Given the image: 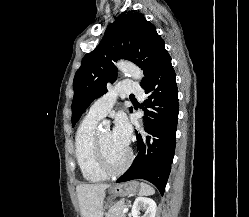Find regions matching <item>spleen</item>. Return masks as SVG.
Returning a JSON list of instances; mask_svg holds the SVG:
<instances>
[{"instance_id":"3e777b00","label":"spleen","mask_w":249,"mask_h":217,"mask_svg":"<svg viewBox=\"0 0 249 217\" xmlns=\"http://www.w3.org/2000/svg\"><path fill=\"white\" fill-rule=\"evenodd\" d=\"M141 188H140V191H139V195H145V196H148V195H152L155 193V190L152 186L142 182L140 184Z\"/></svg>"}]
</instances>
